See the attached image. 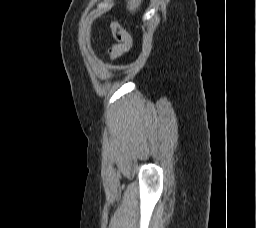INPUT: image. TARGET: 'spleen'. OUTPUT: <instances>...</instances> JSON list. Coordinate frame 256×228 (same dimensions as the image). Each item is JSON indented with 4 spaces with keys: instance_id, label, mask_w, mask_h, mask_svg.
<instances>
[{
    "instance_id": "1",
    "label": "spleen",
    "mask_w": 256,
    "mask_h": 228,
    "mask_svg": "<svg viewBox=\"0 0 256 228\" xmlns=\"http://www.w3.org/2000/svg\"><path fill=\"white\" fill-rule=\"evenodd\" d=\"M142 0H128L127 9L130 12H135L139 8Z\"/></svg>"
}]
</instances>
